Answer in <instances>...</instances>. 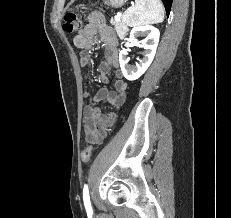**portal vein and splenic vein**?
<instances>
[{"label": "portal vein and splenic vein", "instance_id": "1", "mask_svg": "<svg viewBox=\"0 0 231 218\" xmlns=\"http://www.w3.org/2000/svg\"><path fill=\"white\" fill-rule=\"evenodd\" d=\"M120 17H121V15H116V16H115V20H119Z\"/></svg>", "mask_w": 231, "mask_h": 218}]
</instances>
